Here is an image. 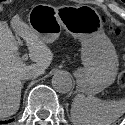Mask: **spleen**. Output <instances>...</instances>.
I'll return each instance as SVG.
<instances>
[{
	"instance_id": "1",
	"label": "spleen",
	"mask_w": 125,
	"mask_h": 125,
	"mask_svg": "<svg viewBox=\"0 0 125 125\" xmlns=\"http://www.w3.org/2000/svg\"><path fill=\"white\" fill-rule=\"evenodd\" d=\"M125 113V98L103 101L93 96L78 94L71 107L74 125H111Z\"/></svg>"
}]
</instances>
